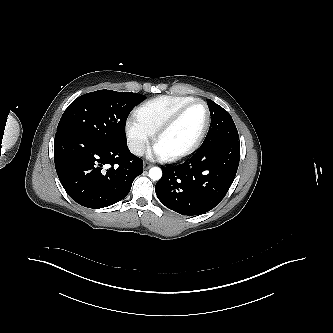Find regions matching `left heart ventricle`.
I'll return each instance as SVG.
<instances>
[{"label": "left heart ventricle", "mask_w": 333, "mask_h": 333, "mask_svg": "<svg viewBox=\"0 0 333 333\" xmlns=\"http://www.w3.org/2000/svg\"><path fill=\"white\" fill-rule=\"evenodd\" d=\"M206 121V109L198 103L191 106L178 122L166 132L156 149L161 155H170L188 148L198 137Z\"/></svg>", "instance_id": "b2bd125f"}]
</instances>
